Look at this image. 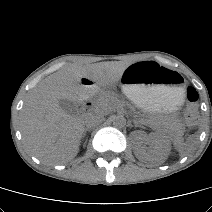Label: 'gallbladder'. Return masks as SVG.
<instances>
[{
  "label": "gallbladder",
  "mask_w": 212,
  "mask_h": 212,
  "mask_svg": "<svg viewBox=\"0 0 212 212\" xmlns=\"http://www.w3.org/2000/svg\"><path fill=\"white\" fill-rule=\"evenodd\" d=\"M59 105L62 108V110L68 114L73 115L76 112V104L73 101L67 99H61L59 100Z\"/></svg>",
  "instance_id": "obj_1"
}]
</instances>
